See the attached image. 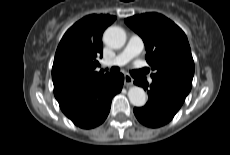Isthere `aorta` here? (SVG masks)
Listing matches in <instances>:
<instances>
[{
    "label": "aorta",
    "instance_id": "obj_1",
    "mask_svg": "<svg viewBox=\"0 0 230 155\" xmlns=\"http://www.w3.org/2000/svg\"><path fill=\"white\" fill-rule=\"evenodd\" d=\"M103 40L107 46L118 49L125 44L126 33L121 27L111 26L104 32ZM128 98L131 104L137 107L144 106L147 101L145 91L138 86L130 87L128 90Z\"/></svg>",
    "mask_w": 230,
    "mask_h": 155
}]
</instances>
